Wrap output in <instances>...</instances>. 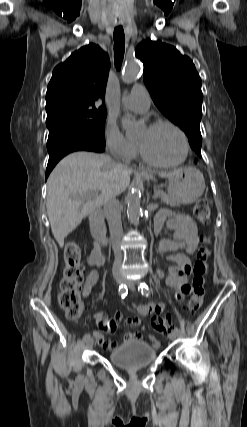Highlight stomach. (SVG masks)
I'll use <instances>...</instances> for the list:
<instances>
[{
    "label": "stomach",
    "instance_id": "obj_1",
    "mask_svg": "<svg viewBox=\"0 0 247 427\" xmlns=\"http://www.w3.org/2000/svg\"><path fill=\"white\" fill-rule=\"evenodd\" d=\"M168 181V195L178 204L194 203L201 197L205 189L203 174L194 167L173 171Z\"/></svg>",
    "mask_w": 247,
    "mask_h": 427
}]
</instances>
